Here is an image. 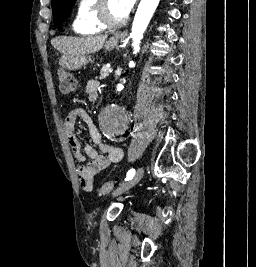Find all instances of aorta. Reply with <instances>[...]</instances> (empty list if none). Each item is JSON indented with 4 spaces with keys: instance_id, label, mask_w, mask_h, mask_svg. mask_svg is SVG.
<instances>
[{
    "instance_id": "obj_1",
    "label": "aorta",
    "mask_w": 256,
    "mask_h": 267,
    "mask_svg": "<svg viewBox=\"0 0 256 267\" xmlns=\"http://www.w3.org/2000/svg\"><path fill=\"white\" fill-rule=\"evenodd\" d=\"M159 2L160 0H141L134 16L130 34L133 54L140 52L143 34ZM130 64L132 65L134 62H130ZM101 113H103L100 118L101 127H124V122L131 121L130 117H125L126 108H116L115 104H112L111 108H101ZM99 133H103V138H108V143H128V138H114V133H118V128H99Z\"/></svg>"
}]
</instances>
